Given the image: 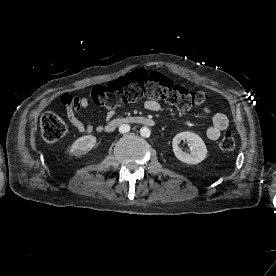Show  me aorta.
I'll use <instances>...</instances> for the list:
<instances>
[{
    "label": "aorta",
    "mask_w": 276,
    "mask_h": 276,
    "mask_svg": "<svg viewBox=\"0 0 276 276\" xmlns=\"http://www.w3.org/2000/svg\"><path fill=\"white\" fill-rule=\"evenodd\" d=\"M140 134H141L142 137H149L150 134H151V131L148 127H142L140 129Z\"/></svg>",
    "instance_id": "aorta-1"
}]
</instances>
